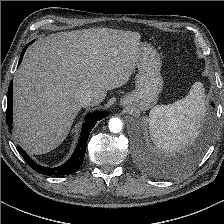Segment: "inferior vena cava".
Returning <instances> with one entry per match:
<instances>
[{
    "label": "inferior vena cava",
    "mask_w": 224,
    "mask_h": 224,
    "mask_svg": "<svg viewBox=\"0 0 224 224\" xmlns=\"http://www.w3.org/2000/svg\"><path fill=\"white\" fill-rule=\"evenodd\" d=\"M79 103L81 107H87V106L97 105L98 101L92 95L85 94L80 97Z\"/></svg>",
    "instance_id": "1"
}]
</instances>
